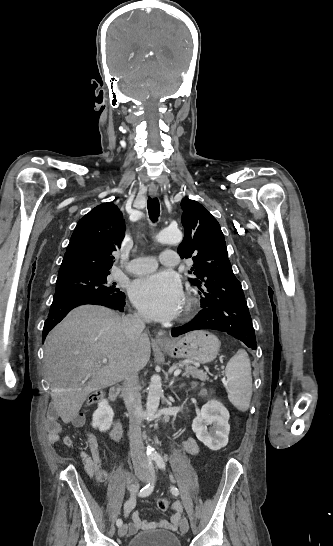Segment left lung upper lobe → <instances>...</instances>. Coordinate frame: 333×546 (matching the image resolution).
Segmentation results:
<instances>
[{"label":"left lung upper lobe","mask_w":333,"mask_h":546,"mask_svg":"<svg viewBox=\"0 0 333 546\" xmlns=\"http://www.w3.org/2000/svg\"><path fill=\"white\" fill-rule=\"evenodd\" d=\"M181 207L185 233L177 252L181 258H192L194 264L189 273L197 277L188 280L199 288L201 298L210 296L221 302L245 300L218 221L194 200L183 199Z\"/></svg>","instance_id":"left-lung-upper-lobe-1"}]
</instances>
